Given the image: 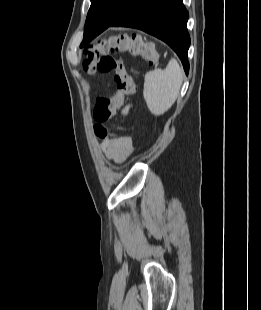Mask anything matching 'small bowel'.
<instances>
[{
	"mask_svg": "<svg viewBox=\"0 0 261 310\" xmlns=\"http://www.w3.org/2000/svg\"><path fill=\"white\" fill-rule=\"evenodd\" d=\"M102 147L110 159L121 162L131 154L133 144L129 137L109 136L103 139Z\"/></svg>",
	"mask_w": 261,
	"mask_h": 310,
	"instance_id": "obj_1",
	"label": "small bowel"
}]
</instances>
